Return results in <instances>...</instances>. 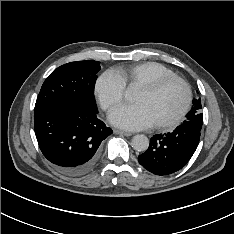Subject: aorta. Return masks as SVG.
<instances>
[{"label":"aorta","instance_id":"762f6f07","mask_svg":"<svg viewBox=\"0 0 234 234\" xmlns=\"http://www.w3.org/2000/svg\"><path fill=\"white\" fill-rule=\"evenodd\" d=\"M131 145L136 151H146L149 147V139L143 134H138L132 138Z\"/></svg>","mask_w":234,"mask_h":234}]
</instances>
